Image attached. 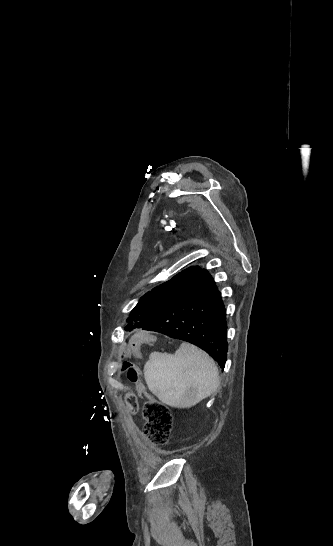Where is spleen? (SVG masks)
I'll return each instance as SVG.
<instances>
[{"label": "spleen", "instance_id": "obj_1", "mask_svg": "<svg viewBox=\"0 0 333 546\" xmlns=\"http://www.w3.org/2000/svg\"><path fill=\"white\" fill-rule=\"evenodd\" d=\"M144 377L161 402L176 408L196 405L220 385L214 361L189 343H182L175 354L151 353Z\"/></svg>", "mask_w": 333, "mask_h": 546}]
</instances>
